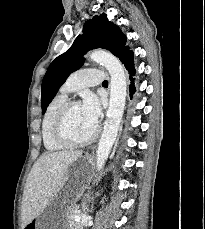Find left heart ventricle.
I'll return each mask as SVG.
<instances>
[{"mask_svg":"<svg viewBox=\"0 0 205 229\" xmlns=\"http://www.w3.org/2000/svg\"><path fill=\"white\" fill-rule=\"evenodd\" d=\"M95 125L88 119L81 105H77L67 116L65 132L73 140H83L92 133Z\"/></svg>","mask_w":205,"mask_h":229,"instance_id":"obj_1","label":"left heart ventricle"}]
</instances>
